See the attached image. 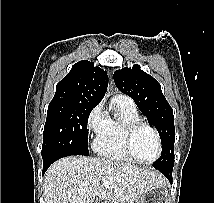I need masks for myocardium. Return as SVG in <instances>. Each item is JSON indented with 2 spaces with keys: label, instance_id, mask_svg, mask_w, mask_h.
Here are the masks:
<instances>
[{
  "label": "myocardium",
  "instance_id": "1",
  "mask_svg": "<svg viewBox=\"0 0 214 203\" xmlns=\"http://www.w3.org/2000/svg\"><path fill=\"white\" fill-rule=\"evenodd\" d=\"M141 128L149 129L154 134V137L156 139L157 154H156L155 158L152 159L151 161H143V160L139 159L133 150L134 137H135L136 133L138 132V130H140ZM124 148H125V151L128 154V156L134 162H137V163L143 164V165H151V164H154L161 156L162 142H161V138H160L158 131L150 124L140 120L137 122H133L126 127L125 132H124Z\"/></svg>",
  "mask_w": 214,
  "mask_h": 203
}]
</instances>
